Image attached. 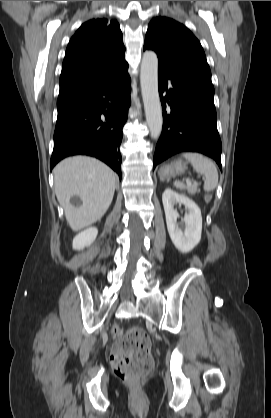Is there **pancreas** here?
Masks as SVG:
<instances>
[{"label": "pancreas", "mask_w": 271, "mask_h": 418, "mask_svg": "<svg viewBox=\"0 0 271 418\" xmlns=\"http://www.w3.org/2000/svg\"><path fill=\"white\" fill-rule=\"evenodd\" d=\"M199 191V189H198V187L195 185V186H191V187H189V189H188V192L189 193H191V194H195V193H197Z\"/></svg>", "instance_id": "pancreas-1"}]
</instances>
